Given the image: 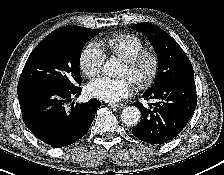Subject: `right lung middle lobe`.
<instances>
[{
    "instance_id": "1",
    "label": "right lung middle lobe",
    "mask_w": 224,
    "mask_h": 175,
    "mask_svg": "<svg viewBox=\"0 0 224 175\" xmlns=\"http://www.w3.org/2000/svg\"><path fill=\"white\" fill-rule=\"evenodd\" d=\"M100 29L76 30L47 35L31 52L19 83H44L65 89L81 84L80 57L84 44Z\"/></svg>"
}]
</instances>
